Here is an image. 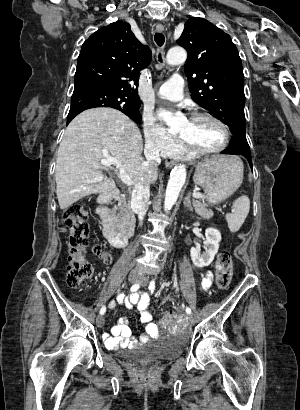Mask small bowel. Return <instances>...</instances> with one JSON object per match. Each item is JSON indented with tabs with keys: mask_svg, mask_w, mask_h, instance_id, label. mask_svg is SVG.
Wrapping results in <instances>:
<instances>
[{
	"mask_svg": "<svg viewBox=\"0 0 300 410\" xmlns=\"http://www.w3.org/2000/svg\"><path fill=\"white\" fill-rule=\"evenodd\" d=\"M213 278L214 275L211 271L206 272L201 281L204 290H208L211 287ZM117 300L119 303L124 304L128 309L133 307L137 308L140 313V321L145 324V332L139 338L133 337L128 320L126 318H119L117 323L112 326L110 333L104 335V341L107 348L118 349L121 347H133L158 337V326L152 322V315L148 311L150 301L148 293L137 292L128 296L120 294ZM114 307L115 303L111 302L110 308Z\"/></svg>",
	"mask_w": 300,
	"mask_h": 410,
	"instance_id": "small-bowel-1",
	"label": "small bowel"
}]
</instances>
